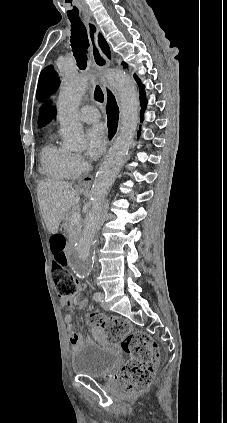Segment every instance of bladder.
Masks as SVG:
<instances>
[{
  "instance_id": "obj_1",
  "label": "bladder",
  "mask_w": 227,
  "mask_h": 423,
  "mask_svg": "<svg viewBox=\"0 0 227 423\" xmlns=\"http://www.w3.org/2000/svg\"><path fill=\"white\" fill-rule=\"evenodd\" d=\"M121 363L116 352L103 349L99 344H84L80 351L73 355L72 371L80 377L107 379Z\"/></svg>"
}]
</instances>
